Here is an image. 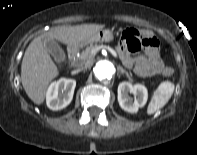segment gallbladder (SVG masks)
Here are the masks:
<instances>
[{
	"instance_id": "obj_1",
	"label": "gallbladder",
	"mask_w": 197,
	"mask_h": 155,
	"mask_svg": "<svg viewBox=\"0 0 197 155\" xmlns=\"http://www.w3.org/2000/svg\"><path fill=\"white\" fill-rule=\"evenodd\" d=\"M44 47L49 54L54 58V60L60 64L65 61L66 55L63 49L59 46V44L55 40L45 39Z\"/></svg>"
}]
</instances>
